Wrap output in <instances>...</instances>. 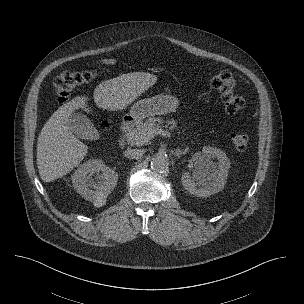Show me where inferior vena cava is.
<instances>
[{"mask_svg":"<svg viewBox=\"0 0 304 304\" xmlns=\"http://www.w3.org/2000/svg\"><path fill=\"white\" fill-rule=\"evenodd\" d=\"M143 154L144 150L142 149H131L124 152V156L129 159H139Z\"/></svg>","mask_w":304,"mask_h":304,"instance_id":"1","label":"inferior vena cava"}]
</instances>
